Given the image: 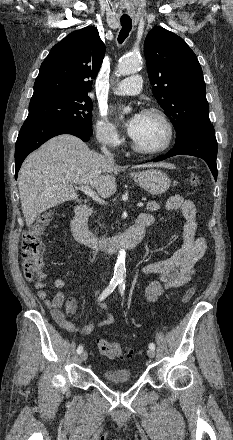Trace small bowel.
Instances as JSON below:
<instances>
[{"mask_svg":"<svg viewBox=\"0 0 233 440\" xmlns=\"http://www.w3.org/2000/svg\"><path fill=\"white\" fill-rule=\"evenodd\" d=\"M166 208L168 211H180L186 220L183 227V243L170 257L148 263L143 267L144 274L158 276V279L149 283L145 289V298L148 302L155 301L165 289L176 288L187 283L195 272L196 263L203 257L207 248L206 239L197 232L196 207L191 200L176 194L167 200ZM140 216L152 219V216L146 213H142ZM53 284L59 291L52 299L48 298L45 281H36L35 288L38 290V297L50 310L54 321L64 331L69 333L81 332L87 335L114 322L113 316L107 314L100 321L78 329L70 321V318L76 312V301L74 298L66 297L61 290L66 285L65 281L56 279ZM98 305L103 310H108V306L103 300L98 299ZM62 307H65V313L61 310Z\"/></svg>","mask_w":233,"mask_h":440,"instance_id":"c3829d8e","label":"small bowel"}]
</instances>
